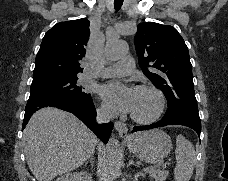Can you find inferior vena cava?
I'll return each instance as SVG.
<instances>
[{
	"mask_svg": "<svg viewBox=\"0 0 228 181\" xmlns=\"http://www.w3.org/2000/svg\"><path fill=\"white\" fill-rule=\"evenodd\" d=\"M110 119H112V117L109 113H106L103 109H97V123H109Z\"/></svg>",
	"mask_w": 228,
	"mask_h": 181,
	"instance_id": "obj_1",
	"label": "inferior vena cava"
}]
</instances>
